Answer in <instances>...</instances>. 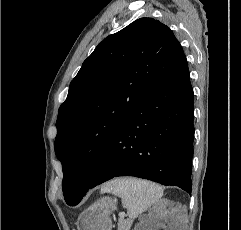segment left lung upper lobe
Segmentation results:
<instances>
[{"instance_id":"left-lung-upper-lobe-1","label":"left lung upper lobe","mask_w":241,"mask_h":230,"mask_svg":"<svg viewBox=\"0 0 241 230\" xmlns=\"http://www.w3.org/2000/svg\"><path fill=\"white\" fill-rule=\"evenodd\" d=\"M184 57L168 26L140 18L104 39L83 62L56 123L54 147L68 205L88 186L92 158Z\"/></svg>"}]
</instances>
